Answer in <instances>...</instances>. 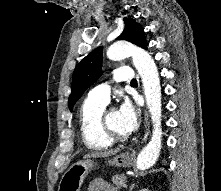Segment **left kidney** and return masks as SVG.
<instances>
[{"mask_svg":"<svg viewBox=\"0 0 221 191\" xmlns=\"http://www.w3.org/2000/svg\"><path fill=\"white\" fill-rule=\"evenodd\" d=\"M139 191H149L148 189H141V190H139Z\"/></svg>","mask_w":221,"mask_h":191,"instance_id":"left-kidney-1","label":"left kidney"}]
</instances>
